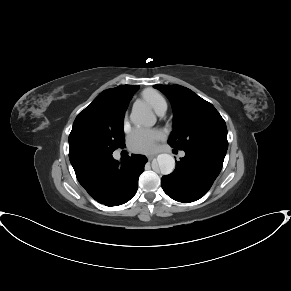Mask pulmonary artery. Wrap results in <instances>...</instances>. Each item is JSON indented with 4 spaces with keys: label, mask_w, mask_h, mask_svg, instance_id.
I'll use <instances>...</instances> for the list:
<instances>
[{
    "label": "pulmonary artery",
    "mask_w": 291,
    "mask_h": 291,
    "mask_svg": "<svg viewBox=\"0 0 291 291\" xmlns=\"http://www.w3.org/2000/svg\"><path fill=\"white\" fill-rule=\"evenodd\" d=\"M166 109H167V107H164V108H162L158 113H159V115H163L165 112H166ZM184 155V153L182 152L181 153V156H183Z\"/></svg>",
    "instance_id": "1"
}]
</instances>
